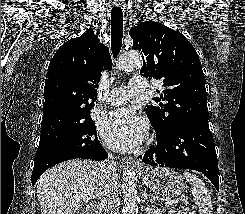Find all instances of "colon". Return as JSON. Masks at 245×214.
Instances as JSON below:
<instances>
[{
	"mask_svg": "<svg viewBox=\"0 0 245 214\" xmlns=\"http://www.w3.org/2000/svg\"><path fill=\"white\" fill-rule=\"evenodd\" d=\"M82 214V213H81ZM180 214H194L193 212L189 211V210H186V209H182L180 211Z\"/></svg>",
	"mask_w": 245,
	"mask_h": 214,
	"instance_id": "5ec220e1",
	"label": "colon"
}]
</instances>
